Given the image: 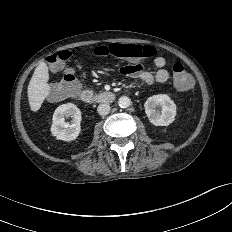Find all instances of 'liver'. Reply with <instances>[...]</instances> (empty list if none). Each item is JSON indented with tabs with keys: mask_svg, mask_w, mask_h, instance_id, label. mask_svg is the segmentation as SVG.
Instances as JSON below:
<instances>
[{
	"mask_svg": "<svg viewBox=\"0 0 232 232\" xmlns=\"http://www.w3.org/2000/svg\"><path fill=\"white\" fill-rule=\"evenodd\" d=\"M49 73L45 62H41L35 69L28 85V100L32 111L41 108L42 103L49 94Z\"/></svg>",
	"mask_w": 232,
	"mask_h": 232,
	"instance_id": "liver-1",
	"label": "liver"
}]
</instances>
